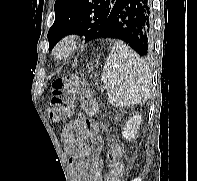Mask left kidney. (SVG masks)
<instances>
[{
    "instance_id": "1",
    "label": "left kidney",
    "mask_w": 197,
    "mask_h": 181,
    "mask_svg": "<svg viewBox=\"0 0 197 181\" xmlns=\"http://www.w3.org/2000/svg\"><path fill=\"white\" fill-rule=\"evenodd\" d=\"M141 122L142 116L140 114H135L133 115V117H130L123 128V138L129 141L135 139L137 137V133Z\"/></svg>"
}]
</instances>
